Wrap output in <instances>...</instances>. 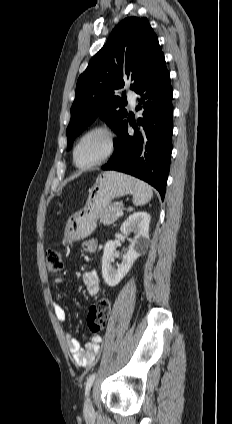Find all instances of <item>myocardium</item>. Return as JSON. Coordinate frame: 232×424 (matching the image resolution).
Here are the masks:
<instances>
[{"instance_id":"f54148a6","label":"myocardium","mask_w":232,"mask_h":424,"mask_svg":"<svg viewBox=\"0 0 232 424\" xmlns=\"http://www.w3.org/2000/svg\"><path fill=\"white\" fill-rule=\"evenodd\" d=\"M93 133H101L106 137L107 140V147L105 152L96 160L87 163V164H80L77 160V150L81 143V141L87 137L90 134ZM116 147V135L112 128H110L107 125H95L89 129H87L85 132H83L78 139L75 141L73 150H72V158L74 165L79 169H89L93 168L95 166L101 165L105 161H107L114 153Z\"/></svg>"}]
</instances>
